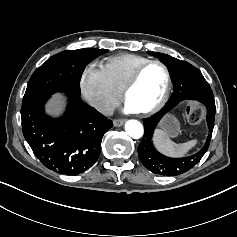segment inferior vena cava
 <instances>
[{"label":"inferior vena cava","mask_w":237,"mask_h":237,"mask_svg":"<svg viewBox=\"0 0 237 237\" xmlns=\"http://www.w3.org/2000/svg\"><path fill=\"white\" fill-rule=\"evenodd\" d=\"M92 105L97 111L103 114H113L114 107L117 106V104L113 105L106 100H96L92 103Z\"/></svg>","instance_id":"inferior-vena-cava-1"}]
</instances>
